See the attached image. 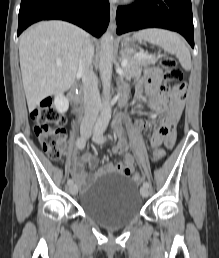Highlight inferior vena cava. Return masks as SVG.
Listing matches in <instances>:
<instances>
[{
	"label": "inferior vena cava",
	"mask_w": 219,
	"mask_h": 258,
	"mask_svg": "<svg viewBox=\"0 0 219 258\" xmlns=\"http://www.w3.org/2000/svg\"><path fill=\"white\" fill-rule=\"evenodd\" d=\"M93 55L94 47L90 39L87 38L81 50L78 63V73L82 77L84 93V117L81 122V129L87 132L93 130L101 107L98 82L92 68Z\"/></svg>",
	"instance_id": "obj_1"
}]
</instances>
